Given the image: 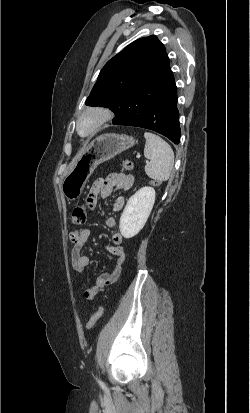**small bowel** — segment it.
Instances as JSON below:
<instances>
[{
	"label": "small bowel",
	"instance_id": "obj_1",
	"mask_svg": "<svg viewBox=\"0 0 250 413\" xmlns=\"http://www.w3.org/2000/svg\"><path fill=\"white\" fill-rule=\"evenodd\" d=\"M134 185V177L124 173H112L106 177L98 178L92 185L90 193L85 196V203L87 206H92L97 197L106 198L111 195L114 190L127 191ZM124 205V198L119 197L113 204V209L119 211ZM108 228L116 226V219L108 217L105 221ZM91 231L89 228H82L73 230L69 234L70 241L73 244L71 250V261L74 270L81 274L84 269L89 266L90 258L82 253L86 247ZM112 245L107 247L109 253L115 256L114 266L111 271L104 272L99 275L95 284L84 292V297L88 300H93L97 297L107 286L113 284L119 278L122 265L126 258V250L123 243V237L120 232H114L111 237Z\"/></svg>",
	"mask_w": 250,
	"mask_h": 413
}]
</instances>
